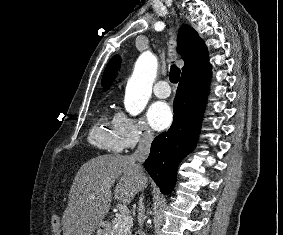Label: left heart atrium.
<instances>
[{
    "mask_svg": "<svg viewBox=\"0 0 283 235\" xmlns=\"http://www.w3.org/2000/svg\"><path fill=\"white\" fill-rule=\"evenodd\" d=\"M147 120L154 130L161 131L170 126L173 114L168 104L155 102L147 111Z\"/></svg>",
    "mask_w": 283,
    "mask_h": 235,
    "instance_id": "left-heart-atrium-1",
    "label": "left heart atrium"
}]
</instances>
